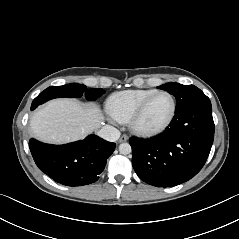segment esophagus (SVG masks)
I'll return each instance as SVG.
<instances>
[{
  "instance_id": "obj_1",
  "label": "esophagus",
  "mask_w": 239,
  "mask_h": 239,
  "mask_svg": "<svg viewBox=\"0 0 239 239\" xmlns=\"http://www.w3.org/2000/svg\"><path fill=\"white\" fill-rule=\"evenodd\" d=\"M128 140V136L126 134H123L120 139H119V142H125Z\"/></svg>"
}]
</instances>
